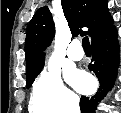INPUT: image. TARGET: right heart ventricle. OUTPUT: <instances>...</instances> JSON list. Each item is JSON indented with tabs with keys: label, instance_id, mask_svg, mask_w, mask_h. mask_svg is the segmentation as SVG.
Here are the masks:
<instances>
[{
	"label": "right heart ventricle",
	"instance_id": "obj_1",
	"mask_svg": "<svg viewBox=\"0 0 121 113\" xmlns=\"http://www.w3.org/2000/svg\"><path fill=\"white\" fill-rule=\"evenodd\" d=\"M30 110L31 113H47L45 108L39 102H37L33 97L31 98L30 101Z\"/></svg>",
	"mask_w": 121,
	"mask_h": 113
}]
</instances>
